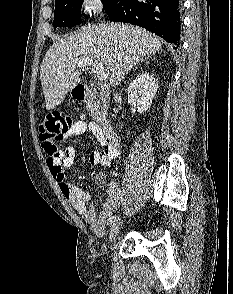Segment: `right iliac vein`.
<instances>
[{
	"instance_id": "63e3f726",
	"label": "right iliac vein",
	"mask_w": 233,
	"mask_h": 294,
	"mask_svg": "<svg viewBox=\"0 0 233 294\" xmlns=\"http://www.w3.org/2000/svg\"><path fill=\"white\" fill-rule=\"evenodd\" d=\"M122 226V222L121 221H116L111 229H110V233H109V243H111L112 241L115 240L116 236L118 235L120 228Z\"/></svg>"
}]
</instances>
